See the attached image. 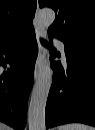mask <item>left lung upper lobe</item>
I'll return each instance as SVG.
<instances>
[{
	"instance_id": "obj_1",
	"label": "left lung upper lobe",
	"mask_w": 95,
	"mask_h": 130,
	"mask_svg": "<svg viewBox=\"0 0 95 130\" xmlns=\"http://www.w3.org/2000/svg\"><path fill=\"white\" fill-rule=\"evenodd\" d=\"M39 6L57 13L50 36L95 51V0H39Z\"/></svg>"
}]
</instances>
